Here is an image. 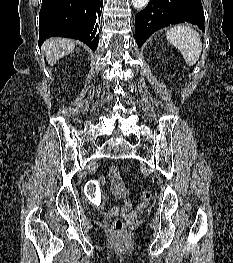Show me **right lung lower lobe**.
I'll return each instance as SVG.
<instances>
[{
  "mask_svg": "<svg viewBox=\"0 0 233 263\" xmlns=\"http://www.w3.org/2000/svg\"><path fill=\"white\" fill-rule=\"evenodd\" d=\"M103 0H43L39 13V46L52 36L79 39L92 50L99 41Z\"/></svg>",
  "mask_w": 233,
  "mask_h": 263,
  "instance_id": "right-lung-lower-lobe-1",
  "label": "right lung lower lobe"
}]
</instances>
